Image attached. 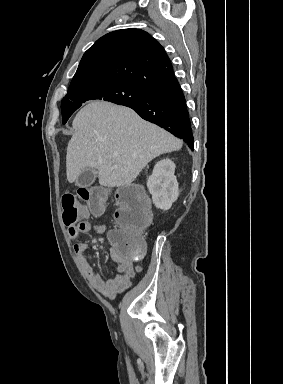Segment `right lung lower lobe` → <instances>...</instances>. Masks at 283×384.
Listing matches in <instances>:
<instances>
[{
	"instance_id": "right-lung-lower-lobe-1",
	"label": "right lung lower lobe",
	"mask_w": 283,
	"mask_h": 384,
	"mask_svg": "<svg viewBox=\"0 0 283 384\" xmlns=\"http://www.w3.org/2000/svg\"><path fill=\"white\" fill-rule=\"evenodd\" d=\"M122 105L183 139L191 150L194 149L185 97L175 76L151 88L144 99Z\"/></svg>"
}]
</instances>
